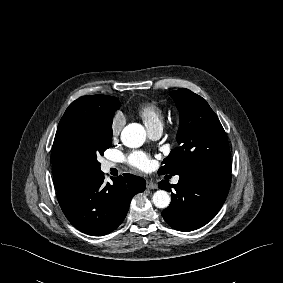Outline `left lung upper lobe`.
I'll return each mask as SVG.
<instances>
[{
    "label": "left lung upper lobe",
    "mask_w": 283,
    "mask_h": 283,
    "mask_svg": "<svg viewBox=\"0 0 283 283\" xmlns=\"http://www.w3.org/2000/svg\"><path fill=\"white\" fill-rule=\"evenodd\" d=\"M171 96L180 112L179 146L164 159L159 174L231 177L227 136L206 100L184 88L172 91Z\"/></svg>",
    "instance_id": "5c2ea615"
}]
</instances>
